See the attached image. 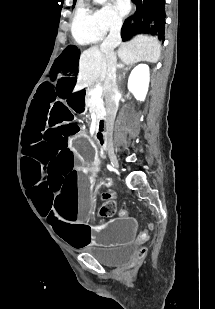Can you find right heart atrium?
<instances>
[{"mask_svg": "<svg viewBox=\"0 0 215 309\" xmlns=\"http://www.w3.org/2000/svg\"><path fill=\"white\" fill-rule=\"evenodd\" d=\"M94 21L98 25V29L106 32H117L122 25V18L118 12L112 7H104L99 10L98 14H94Z\"/></svg>", "mask_w": 215, "mask_h": 309, "instance_id": "right-heart-atrium-1", "label": "right heart atrium"}]
</instances>
